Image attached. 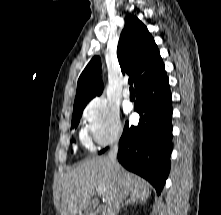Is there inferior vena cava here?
<instances>
[{
  "label": "inferior vena cava",
  "mask_w": 221,
  "mask_h": 215,
  "mask_svg": "<svg viewBox=\"0 0 221 215\" xmlns=\"http://www.w3.org/2000/svg\"><path fill=\"white\" fill-rule=\"evenodd\" d=\"M117 152H118V142L114 144V146L110 149L108 158L110 162L116 166L117 161ZM120 203H122V196H116L112 203L106 208V214L107 215H116L117 212H119L120 209Z\"/></svg>",
  "instance_id": "obj_1"
}]
</instances>
